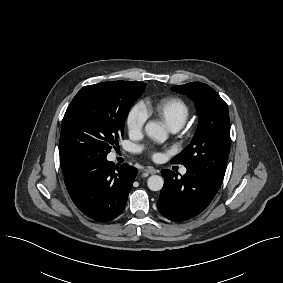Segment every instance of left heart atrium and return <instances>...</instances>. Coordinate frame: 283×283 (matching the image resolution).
<instances>
[{"mask_svg": "<svg viewBox=\"0 0 283 283\" xmlns=\"http://www.w3.org/2000/svg\"><path fill=\"white\" fill-rule=\"evenodd\" d=\"M150 154L153 158H156L158 155L155 151H151Z\"/></svg>", "mask_w": 283, "mask_h": 283, "instance_id": "left-heart-atrium-1", "label": "left heart atrium"}]
</instances>
